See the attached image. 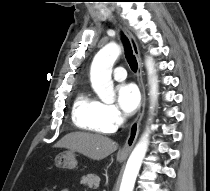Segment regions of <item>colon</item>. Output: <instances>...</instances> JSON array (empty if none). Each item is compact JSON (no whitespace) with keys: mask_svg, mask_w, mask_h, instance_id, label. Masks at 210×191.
Listing matches in <instances>:
<instances>
[{"mask_svg":"<svg viewBox=\"0 0 210 191\" xmlns=\"http://www.w3.org/2000/svg\"><path fill=\"white\" fill-rule=\"evenodd\" d=\"M31 191H39V190H31Z\"/></svg>","mask_w":210,"mask_h":191,"instance_id":"5ec220e1","label":"colon"}]
</instances>
